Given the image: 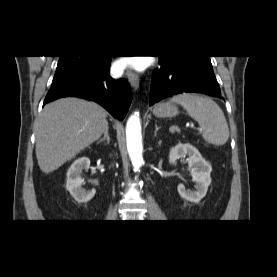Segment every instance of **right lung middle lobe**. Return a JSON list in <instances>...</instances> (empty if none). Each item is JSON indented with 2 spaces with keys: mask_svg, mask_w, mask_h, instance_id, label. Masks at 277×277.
Returning <instances> with one entry per match:
<instances>
[{
  "mask_svg": "<svg viewBox=\"0 0 277 277\" xmlns=\"http://www.w3.org/2000/svg\"><path fill=\"white\" fill-rule=\"evenodd\" d=\"M103 56H60L52 85H57L102 62Z\"/></svg>",
  "mask_w": 277,
  "mask_h": 277,
  "instance_id": "1",
  "label": "right lung middle lobe"
}]
</instances>
